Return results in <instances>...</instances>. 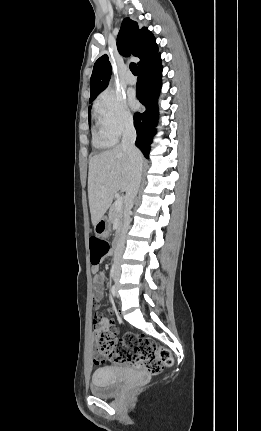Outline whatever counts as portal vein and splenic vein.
Returning a JSON list of instances; mask_svg holds the SVG:
<instances>
[{"mask_svg":"<svg viewBox=\"0 0 261 431\" xmlns=\"http://www.w3.org/2000/svg\"><path fill=\"white\" fill-rule=\"evenodd\" d=\"M123 205V198L119 197L116 201H115V207L116 209H120Z\"/></svg>","mask_w":261,"mask_h":431,"instance_id":"1","label":"portal vein and splenic vein"}]
</instances>
